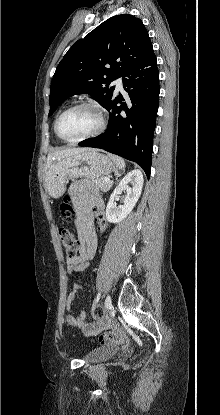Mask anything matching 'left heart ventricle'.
Returning a JSON list of instances; mask_svg holds the SVG:
<instances>
[{"mask_svg":"<svg viewBox=\"0 0 220 415\" xmlns=\"http://www.w3.org/2000/svg\"><path fill=\"white\" fill-rule=\"evenodd\" d=\"M99 125L97 113L90 108H78L66 113L58 129L62 137L77 139L95 131Z\"/></svg>","mask_w":220,"mask_h":415,"instance_id":"b2bd125f","label":"left heart ventricle"}]
</instances>
